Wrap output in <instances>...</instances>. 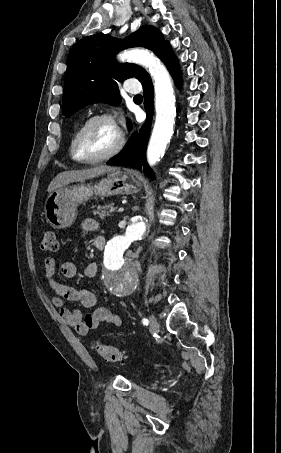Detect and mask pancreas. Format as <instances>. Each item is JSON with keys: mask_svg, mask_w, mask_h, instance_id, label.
<instances>
[{"mask_svg": "<svg viewBox=\"0 0 281 453\" xmlns=\"http://www.w3.org/2000/svg\"><path fill=\"white\" fill-rule=\"evenodd\" d=\"M95 206H91V208H93L92 212H94V214H98V216H101V218H104V216H111L109 208H111L113 204H105V206H102V204H95Z\"/></svg>", "mask_w": 281, "mask_h": 453, "instance_id": "1", "label": "pancreas"}]
</instances>
